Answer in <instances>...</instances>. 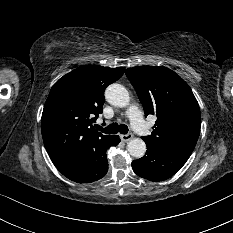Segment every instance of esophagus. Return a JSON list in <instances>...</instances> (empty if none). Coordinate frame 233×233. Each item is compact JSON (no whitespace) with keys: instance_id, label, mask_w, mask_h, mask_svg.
Wrapping results in <instances>:
<instances>
[{"instance_id":"esophagus-1","label":"esophagus","mask_w":233,"mask_h":233,"mask_svg":"<svg viewBox=\"0 0 233 233\" xmlns=\"http://www.w3.org/2000/svg\"><path fill=\"white\" fill-rule=\"evenodd\" d=\"M120 137H121L122 141L128 142V141H130L133 138V134H131V133L124 134V135H121Z\"/></svg>"}]
</instances>
